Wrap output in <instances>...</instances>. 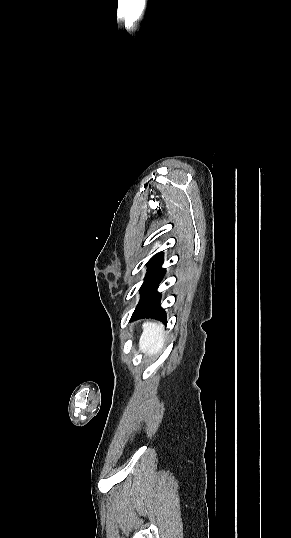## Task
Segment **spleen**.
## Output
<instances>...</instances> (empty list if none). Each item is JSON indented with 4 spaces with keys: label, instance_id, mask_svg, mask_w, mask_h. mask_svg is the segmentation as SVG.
<instances>
[{
    "label": "spleen",
    "instance_id": "spleen-1",
    "mask_svg": "<svg viewBox=\"0 0 291 538\" xmlns=\"http://www.w3.org/2000/svg\"><path fill=\"white\" fill-rule=\"evenodd\" d=\"M163 326L146 323L140 337L139 350L148 356L157 355L164 347Z\"/></svg>",
    "mask_w": 291,
    "mask_h": 538
}]
</instances>
